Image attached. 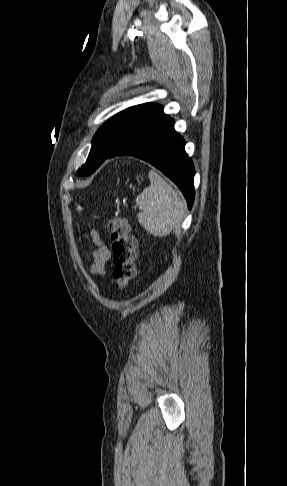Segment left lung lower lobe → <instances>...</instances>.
<instances>
[{
	"mask_svg": "<svg viewBox=\"0 0 287 486\" xmlns=\"http://www.w3.org/2000/svg\"><path fill=\"white\" fill-rule=\"evenodd\" d=\"M184 146V139L174 130V120L169 118L139 148L127 155L149 162L161 170L177 184L191 209L195 195V170Z\"/></svg>",
	"mask_w": 287,
	"mask_h": 486,
	"instance_id": "obj_1",
	"label": "left lung lower lobe"
}]
</instances>
